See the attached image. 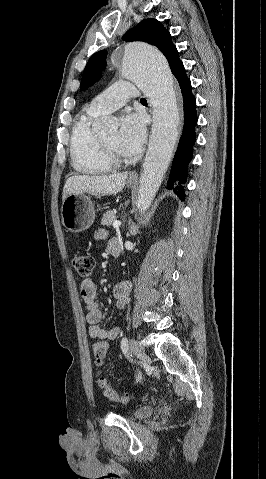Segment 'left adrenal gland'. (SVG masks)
I'll list each match as a JSON object with an SVG mask.
<instances>
[{
  "instance_id": "left-adrenal-gland-1",
  "label": "left adrenal gland",
  "mask_w": 266,
  "mask_h": 479,
  "mask_svg": "<svg viewBox=\"0 0 266 479\" xmlns=\"http://www.w3.org/2000/svg\"><path fill=\"white\" fill-rule=\"evenodd\" d=\"M131 233H132V234L134 233V229H133V228H132V231H131Z\"/></svg>"
}]
</instances>
